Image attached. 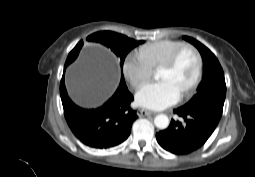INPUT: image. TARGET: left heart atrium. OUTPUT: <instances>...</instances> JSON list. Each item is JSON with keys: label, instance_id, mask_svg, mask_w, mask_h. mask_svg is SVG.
<instances>
[{"label": "left heart atrium", "instance_id": "obj_1", "mask_svg": "<svg viewBox=\"0 0 255 177\" xmlns=\"http://www.w3.org/2000/svg\"><path fill=\"white\" fill-rule=\"evenodd\" d=\"M180 95L171 81L161 79L144 84L136 94V101L140 106L161 110L175 104Z\"/></svg>", "mask_w": 255, "mask_h": 177}]
</instances>
